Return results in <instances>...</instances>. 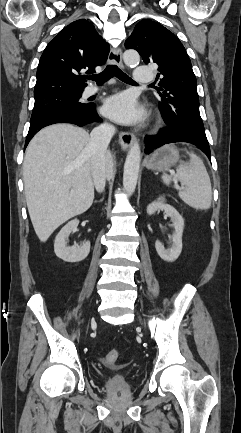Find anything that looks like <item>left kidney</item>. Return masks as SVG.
<instances>
[{
  "label": "left kidney",
  "mask_w": 241,
  "mask_h": 433,
  "mask_svg": "<svg viewBox=\"0 0 241 433\" xmlns=\"http://www.w3.org/2000/svg\"><path fill=\"white\" fill-rule=\"evenodd\" d=\"M157 210H163L171 218L175 231L172 235V245L169 249H165L164 245L158 240L155 242V248L161 259L166 262H174L182 251L184 220L174 207L165 203V198L162 196L147 206V214L154 215Z\"/></svg>",
  "instance_id": "obj_1"
}]
</instances>
